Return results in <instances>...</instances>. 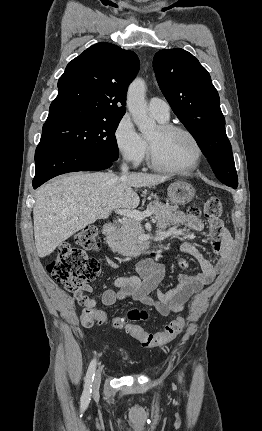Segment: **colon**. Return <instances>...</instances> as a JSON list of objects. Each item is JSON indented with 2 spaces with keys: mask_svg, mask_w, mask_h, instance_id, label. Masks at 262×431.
<instances>
[{
  "mask_svg": "<svg viewBox=\"0 0 262 431\" xmlns=\"http://www.w3.org/2000/svg\"><path fill=\"white\" fill-rule=\"evenodd\" d=\"M197 206H191L190 212L196 213ZM223 205L216 195L210 196L204 206L203 212L209 219H217L221 216ZM97 229L94 226L78 232L74 238V245L64 243L58 250L56 257L47 265V270L54 280L62 284L69 292H76L87 286L99 274V263L85 255L84 250H95L99 247L96 239ZM148 317L146 311L133 310L128 313L126 319L116 318L112 321L114 328H125L144 347H157L174 340L184 329L185 320L179 317L167 324L163 331L151 333L136 323ZM82 325L91 327L95 322L103 323L104 319L85 313L81 316Z\"/></svg>",
  "mask_w": 262,
  "mask_h": 431,
  "instance_id": "colon-1",
  "label": "colon"
}]
</instances>
